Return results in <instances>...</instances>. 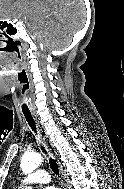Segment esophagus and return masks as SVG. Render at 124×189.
I'll return each mask as SVG.
<instances>
[{
	"label": "esophagus",
	"instance_id": "esophagus-1",
	"mask_svg": "<svg viewBox=\"0 0 124 189\" xmlns=\"http://www.w3.org/2000/svg\"><path fill=\"white\" fill-rule=\"evenodd\" d=\"M32 115H33V118L35 120L39 134H40V136L43 140V143H44L47 151L49 152L50 156L58 162L59 171H60V174H61V177H62V189H67L68 186H67V183H66L65 174H64V171H63V167H62L61 163L59 162L57 151L55 150L49 136L47 135L43 124L37 118V115L35 113H33Z\"/></svg>",
	"mask_w": 124,
	"mask_h": 189
}]
</instances>
